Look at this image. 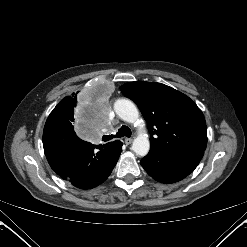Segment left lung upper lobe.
Returning a JSON list of instances; mask_svg holds the SVG:
<instances>
[{"mask_svg": "<svg viewBox=\"0 0 247 247\" xmlns=\"http://www.w3.org/2000/svg\"><path fill=\"white\" fill-rule=\"evenodd\" d=\"M120 90L137 104L147 121L151 148L206 149L204 116L188 96L167 85L143 81L126 83Z\"/></svg>", "mask_w": 247, "mask_h": 247, "instance_id": "1", "label": "left lung upper lobe"}]
</instances>
